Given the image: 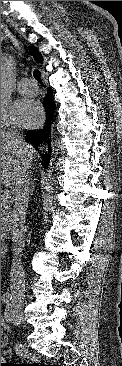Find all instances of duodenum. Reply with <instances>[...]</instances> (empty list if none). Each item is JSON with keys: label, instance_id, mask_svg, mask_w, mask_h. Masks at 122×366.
Here are the masks:
<instances>
[{"label": "duodenum", "instance_id": "duodenum-1", "mask_svg": "<svg viewBox=\"0 0 122 366\" xmlns=\"http://www.w3.org/2000/svg\"><path fill=\"white\" fill-rule=\"evenodd\" d=\"M7 246L6 245H1V257H3L4 255H6L7 253Z\"/></svg>", "mask_w": 122, "mask_h": 366}]
</instances>
